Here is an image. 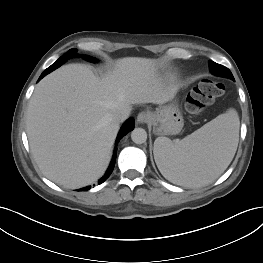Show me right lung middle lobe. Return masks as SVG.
<instances>
[{
	"label": "right lung middle lobe",
	"instance_id": "obj_1",
	"mask_svg": "<svg viewBox=\"0 0 263 263\" xmlns=\"http://www.w3.org/2000/svg\"><path fill=\"white\" fill-rule=\"evenodd\" d=\"M76 51H77L76 49H70L68 51V53L64 54L62 57H64L65 59H68V58L74 56ZM84 59H86L87 61H90V62H96V60L94 58L89 57V56H84Z\"/></svg>",
	"mask_w": 263,
	"mask_h": 263
}]
</instances>
